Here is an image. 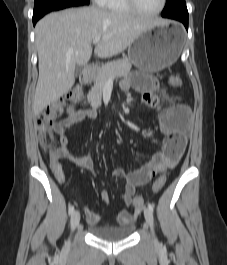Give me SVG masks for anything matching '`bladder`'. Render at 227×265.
<instances>
[{
	"label": "bladder",
	"instance_id": "1",
	"mask_svg": "<svg viewBox=\"0 0 227 265\" xmlns=\"http://www.w3.org/2000/svg\"><path fill=\"white\" fill-rule=\"evenodd\" d=\"M135 225L133 222L127 224L115 226V227H104L91 225L88 227V231L95 238L106 241V242H118L128 239L134 232Z\"/></svg>",
	"mask_w": 227,
	"mask_h": 265
}]
</instances>
